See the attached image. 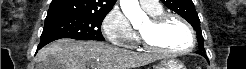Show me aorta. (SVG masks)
Returning a JSON list of instances; mask_svg holds the SVG:
<instances>
[{
	"mask_svg": "<svg viewBox=\"0 0 246 69\" xmlns=\"http://www.w3.org/2000/svg\"><path fill=\"white\" fill-rule=\"evenodd\" d=\"M120 6L125 16L133 26L146 19V14L141 10L138 0H120Z\"/></svg>",
	"mask_w": 246,
	"mask_h": 69,
	"instance_id": "aorta-1",
	"label": "aorta"
}]
</instances>
